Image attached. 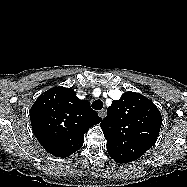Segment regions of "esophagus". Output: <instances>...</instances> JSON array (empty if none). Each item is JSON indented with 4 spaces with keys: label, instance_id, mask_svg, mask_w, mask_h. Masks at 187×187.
Returning a JSON list of instances; mask_svg holds the SVG:
<instances>
[{
    "label": "esophagus",
    "instance_id": "obj_1",
    "mask_svg": "<svg viewBox=\"0 0 187 187\" xmlns=\"http://www.w3.org/2000/svg\"><path fill=\"white\" fill-rule=\"evenodd\" d=\"M98 115H99V117L100 118H104L105 117V115H106V110H100L99 112H98Z\"/></svg>",
    "mask_w": 187,
    "mask_h": 187
}]
</instances>
